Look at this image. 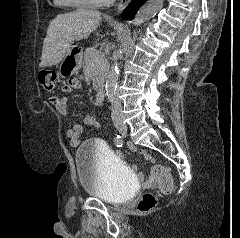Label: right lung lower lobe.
<instances>
[{
	"mask_svg": "<svg viewBox=\"0 0 240 238\" xmlns=\"http://www.w3.org/2000/svg\"><path fill=\"white\" fill-rule=\"evenodd\" d=\"M142 0H134L133 2L130 3V5L123 11V15L127 19H133L140 3Z\"/></svg>",
	"mask_w": 240,
	"mask_h": 238,
	"instance_id": "1",
	"label": "right lung lower lobe"
}]
</instances>
